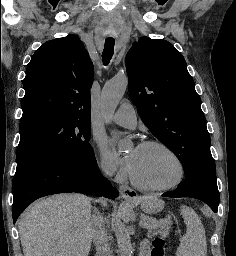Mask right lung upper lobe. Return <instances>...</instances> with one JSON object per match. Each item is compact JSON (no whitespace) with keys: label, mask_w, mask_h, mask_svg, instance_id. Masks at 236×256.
Segmentation results:
<instances>
[{"label":"right lung upper lobe","mask_w":236,"mask_h":256,"mask_svg":"<svg viewBox=\"0 0 236 256\" xmlns=\"http://www.w3.org/2000/svg\"><path fill=\"white\" fill-rule=\"evenodd\" d=\"M92 83L93 64L78 36L44 43L26 69L21 119L48 113L90 120Z\"/></svg>","instance_id":"right-lung-upper-lobe-1"}]
</instances>
